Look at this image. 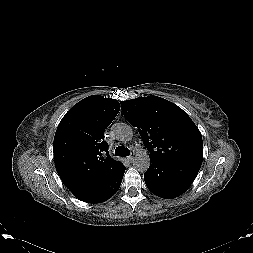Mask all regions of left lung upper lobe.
<instances>
[{
	"label": "left lung upper lobe",
	"instance_id": "5c2ea615",
	"mask_svg": "<svg viewBox=\"0 0 253 253\" xmlns=\"http://www.w3.org/2000/svg\"><path fill=\"white\" fill-rule=\"evenodd\" d=\"M125 118L138 128L150 159L186 160L202 164L199 129L177 105L157 96L121 101Z\"/></svg>",
	"mask_w": 253,
	"mask_h": 253
}]
</instances>
